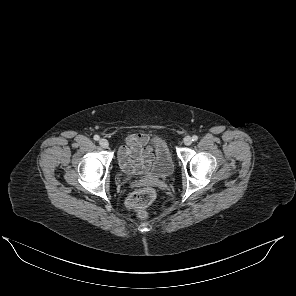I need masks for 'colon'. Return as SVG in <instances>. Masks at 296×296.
Masks as SVG:
<instances>
[{"label": "colon", "instance_id": "5ec220e1", "mask_svg": "<svg viewBox=\"0 0 296 296\" xmlns=\"http://www.w3.org/2000/svg\"><path fill=\"white\" fill-rule=\"evenodd\" d=\"M155 192L152 188H142L134 191L127 199L130 209L144 213L145 209L154 201Z\"/></svg>", "mask_w": 296, "mask_h": 296}]
</instances>
